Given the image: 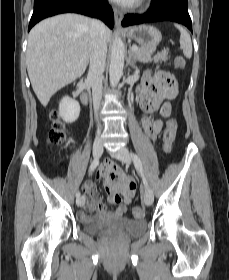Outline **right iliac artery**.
Masks as SVG:
<instances>
[{"mask_svg":"<svg viewBox=\"0 0 229 280\" xmlns=\"http://www.w3.org/2000/svg\"><path fill=\"white\" fill-rule=\"evenodd\" d=\"M98 165H99V159H94L89 167V173H92ZM80 196H81L80 191H77L76 198L78 199V198H80Z\"/></svg>","mask_w":229,"mask_h":280,"instance_id":"right-iliac-artery-1","label":"right iliac artery"}]
</instances>
